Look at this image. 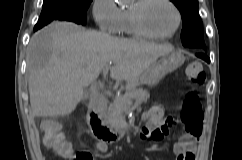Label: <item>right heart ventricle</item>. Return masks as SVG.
Listing matches in <instances>:
<instances>
[{
  "label": "right heart ventricle",
  "mask_w": 242,
  "mask_h": 160,
  "mask_svg": "<svg viewBox=\"0 0 242 160\" xmlns=\"http://www.w3.org/2000/svg\"><path fill=\"white\" fill-rule=\"evenodd\" d=\"M118 33L131 38H141L132 27L129 10H121V18Z\"/></svg>",
  "instance_id": "e07e8e85"
}]
</instances>
